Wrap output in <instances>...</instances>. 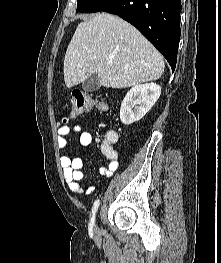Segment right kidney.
<instances>
[{
    "instance_id": "obj_1",
    "label": "right kidney",
    "mask_w": 221,
    "mask_h": 263,
    "mask_svg": "<svg viewBox=\"0 0 221 263\" xmlns=\"http://www.w3.org/2000/svg\"><path fill=\"white\" fill-rule=\"evenodd\" d=\"M161 94V87L146 83L132 87L122 101L120 119L124 125L139 121L152 108Z\"/></svg>"
}]
</instances>
